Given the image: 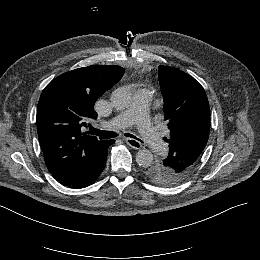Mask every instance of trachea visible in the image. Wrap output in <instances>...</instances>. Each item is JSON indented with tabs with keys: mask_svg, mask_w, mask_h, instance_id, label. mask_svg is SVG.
<instances>
[{
	"mask_svg": "<svg viewBox=\"0 0 260 260\" xmlns=\"http://www.w3.org/2000/svg\"><path fill=\"white\" fill-rule=\"evenodd\" d=\"M89 134L97 135V136H99L100 139H110V138L117 137L119 135L117 132L105 131V130L102 131L100 129H95L93 127L90 128ZM124 135L126 137L133 138V139H136V140L142 142L141 139L137 138L136 136H134L130 133H125Z\"/></svg>",
	"mask_w": 260,
	"mask_h": 260,
	"instance_id": "trachea-1",
	"label": "trachea"
}]
</instances>
